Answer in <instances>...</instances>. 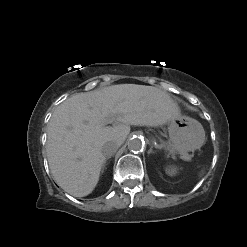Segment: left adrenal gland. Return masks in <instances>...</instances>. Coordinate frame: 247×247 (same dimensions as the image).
Returning a JSON list of instances; mask_svg holds the SVG:
<instances>
[{"label": "left adrenal gland", "instance_id": "obj_1", "mask_svg": "<svg viewBox=\"0 0 247 247\" xmlns=\"http://www.w3.org/2000/svg\"><path fill=\"white\" fill-rule=\"evenodd\" d=\"M149 153H154L153 150H152V147L150 148Z\"/></svg>", "mask_w": 247, "mask_h": 247}]
</instances>
